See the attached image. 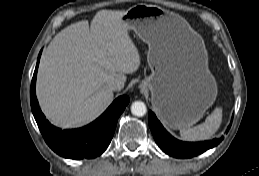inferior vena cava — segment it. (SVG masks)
<instances>
[{
    "instance_id": "1",
    "label": "inferior vena cava",
    "mask_w": 259,
    "mask_h": 176,
    "mask_svg": "<svg viewBox=\"0 0 259 176\" xmlns=\"http://www.w3.org/2000/svg\"><path fill=\"white\" fill-rule=\"evenodd\" d=\"M110 87L113 91H120L124 88V82L121 80H115L110 84Z\"/></svg>"
}]
</instances>
